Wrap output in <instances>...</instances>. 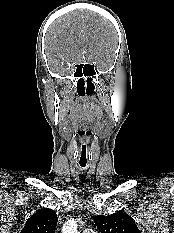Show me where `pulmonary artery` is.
<instances>
[{"mask_svg":"<svg viewBox=\"0 0 174 233\" xmlns=\"http://www.w3.org/2000/svg\"><path fill=\"white\" fill-rule=\"evenodd\" d=\"M84 233H96V232H94L92 229H86L84 230Z\"/></svg>","mask_w":174,"mask_h":233,"instance_id":"obj_1","label":"pulmonary artery"}]
</instances>
